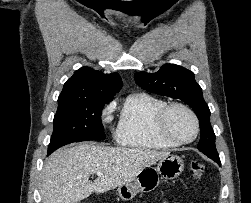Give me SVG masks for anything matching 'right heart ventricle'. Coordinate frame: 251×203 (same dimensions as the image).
Instances as JSON below:
<instances>
[{"label":"right heart ventricle","mask_w":251,"mask_h":203,"mask_svg":"<svg viewBox=\"0 0 251 203\" xmlns=\"http://www.w3.org/2000/svg\"><path fill=\"white\" fill-rule=\"evenodd\" d=\"M166 102L148 94L129 96L122 107L116 142L124 147L141 150L169 149L175 145L164 141L154 130L157 112Z\"/></svg>","instance_id":"obj_1"}]
</instances>
